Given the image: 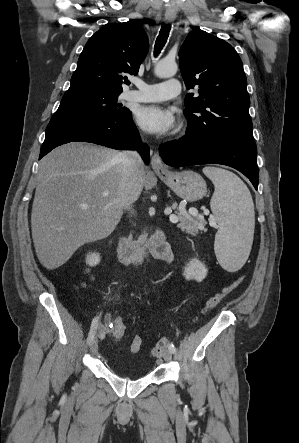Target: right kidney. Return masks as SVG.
Wrapping results in <instances>:
<instances>
[{
  "label": "right kidney",
  "mask_w": 299,
  "mask_h": 443,
  "mask_svg": "<svg viewBox=\"0 0 299 443\" xmlns=\"http://www.w3.org/2000/svg\"><path fill=\"white\" fill-rule=\"evenodd\" d=\"M100 262V255L98 253H89L86 257V263L90 266H96Z\"/></svg>",
  "instance_id": "ca27d5eb"
}]
</instances>
